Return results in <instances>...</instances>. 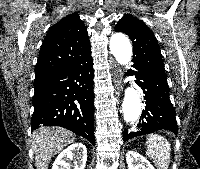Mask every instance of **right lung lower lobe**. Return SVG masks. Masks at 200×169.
I'll return each mask as SVG.
<instances>
[{
    "label": "right lung lower lobe",
    "instance_id": "right-lung-lower-lobe-1",
    "mask_svg": "<svg viewBox=\"0 0 200 169\" xmlns=\"http://www.w3.org/2000/svg\"><path fill=\"white\" fill-rule=\"evenodd\" d=\"M92 66L89 54L70 68L35 78L32 130L61 126L95 144Z\"/></svg>",
    "mask_w": 200,
    "mask_h": 169
}]
</instances>
